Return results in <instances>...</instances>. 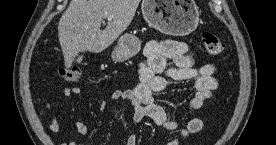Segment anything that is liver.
Returning a JSON list of instances; mask_svg holds the SVG:
<instances>
[{
    "instance_id": "liver-1",
    "label": "liver",
    "mask_w": 276,
    "mask_h": 145,
    "mask_svg": "<svg viewBox=\"0 0 276 145\" xmlns=\"http://www.w3.org/2000/svg\"><path fill=\"white\" fill-rule=\"evenodd\" d=\"M141 0H71L58 23V37L66 68L79 52L99 53L126 30ZM112 16L102 31L101 22Z\"/></svg>"
}]
</instances>
